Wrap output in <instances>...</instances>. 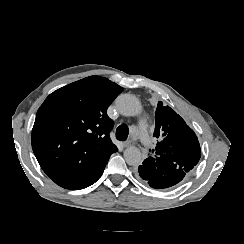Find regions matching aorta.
I'll return each instance as SVG.
<instances>
[{
  "mask_svg": "<svg viewBox=\"0 0 244 244\" xmlns=\"http://www.w3.org/2000/svg\"><path fill=\"white\" fill-rule=\"evenodd\" d=\"M116 108L124 116H136L141 112V104L139 100L130 95L122 94L116 99ZM124 158L128 165L138 166L142 163V154L135 146H129L124 151Z\"/></svg>",
  "mask_w": 244,
  "mask_h": 244,
  "instance_id": "1",
  "label": "aorta"
}]
</instances>
